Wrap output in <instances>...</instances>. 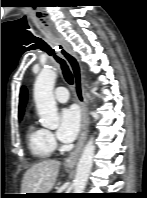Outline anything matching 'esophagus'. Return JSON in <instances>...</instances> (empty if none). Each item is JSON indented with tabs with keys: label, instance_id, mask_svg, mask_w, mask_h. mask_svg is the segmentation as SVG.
I'll use <instances>...</instances> for the list:
<instances>
[{
	"label": "esophagus",
	"instance_id": "34e87169",
	"mask_svg": "<svg viewBox=\"0 0 147 198\" xmlns=\"http://www.w3.org/2000/svg\"><path fill=\"white\" fill-rule=\"evenodd\" d=\"M58 49L60 55L68 62L71 71L73 73L75 96L78 103L80 104L81 112H82V131L79 141L75 149L68 155V157L64 161V164L66 166L72 167L76 164L80 156V153L84 147L85 141L87 139L88 124H89L88 116H87V100L83 85L82 70L76 54L73 53V51L65 41L59 43Z\"/></svg>",
	"mask_w": 147,
	"mask_h": 198
}]
</instances>
